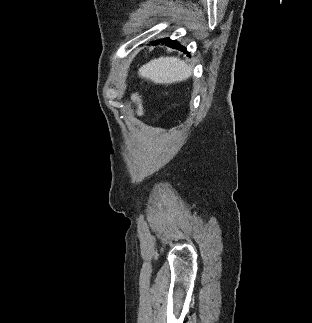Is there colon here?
<instances>
[{
  "label": "colon",
  "instance_id": "1",
  "mask_svg": "<svg viewBox=\"0 0 312 323\" xmlns=\"http://www.w3.org/2000/svg\"><path fill=\"white\" fill-rule=\"evenodd\" d=\"M132 99L137 107L138 114L142 116L145 112L142 97L137 92H134L132 94Z\"/></svg>",
  "mask_w": 312,
  "mask_h": 323
}]
</instances>
